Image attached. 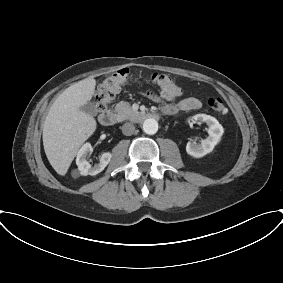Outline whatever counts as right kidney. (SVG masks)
Segmentation results:
<instances>
[{
  "mask_svg": "<svg viewBox=\"0 0 283 283\" xmlns=\"http://www.w3.org/2000/svg\"><path fill=\"white\" fill-rule=\"evenodd\" d=\"M93 151V148L90 143H85L77 153L76 164L81 175H97L102 172L104 168L108 165L112 158V154L109 152L103 153L99 163L91 166L87 161V156Z\"/></svg>",
  "mask_w": 283,
  "mask_h": 283,
  "instance_id": "right-kidney-1",
  "label": "right kidney"
}]
</instances>
